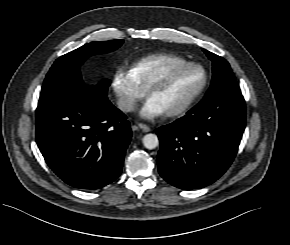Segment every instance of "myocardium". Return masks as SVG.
Segmentation results:
<instances>
[{"label":"myocardium","instance_id":"myocardium-1","mask_svg":"<svg viewBox=\"0 0 290 245\" xmlns=\"http://www.w3.org/2000/svg\"><path fill=\"white\" fill-rule=\"evenodd\" d=\"M187 68H199L202 71V73H203L202 84L182 105H180L179 107H177L173 110L165 112V115L168 117H175V116H179V115L185 113L186 111H188L192 107V105L203 94V92L207 88V85L209 82V75H208V72L205 69V67L199 63H194V62H186L183 64L173 66V67L167 69L165 71L166 72L165 74L161 73V74L157 75L151 81V83L148 85V87L146 88V94L148 96H150L151 92L154 89H156L158 86L162 85L165 81H167V79L169 78V75L174 74V73H178V72H180L184 69H187Z\"/></svg>","mask_w":290,"mask_h":245}]
</instances>
